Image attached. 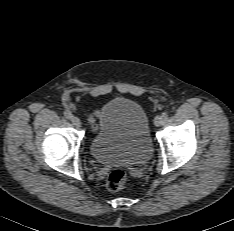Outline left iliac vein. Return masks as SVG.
Here are the masks:
<instances>
[{
  "mask_svg": "<svg viewBox=\"0 0 234 231\" xmlns=\"http://www.w3.org/2000/svg\"><path fill=\"white\" fill-rule=\"evenodd\" d=\"M161 122H162L161 116L158 115V116H156V117L154 118V125H155V126H157V127L160 126V125L162 124Z\"/></svg>",
  "mask_w": 234,
  "mask_h": 231,
  "instance_id": "4c4485c4",
  "label": "left iliac vein"
}]
</instances>
